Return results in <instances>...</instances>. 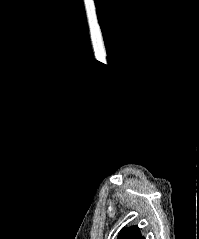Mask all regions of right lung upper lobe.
<instances>
[{"label":"right lung upper lobe","mask_w":199,"mask_h":239,"mask_svg":"<svg viewBox=\"0 0 199 239\" xmlns=\"http://www.w3.org/2000/svg\"><path fill=\"white\" fill-rule=\"evenodd\" d=\"M118 239H145L141 236L138 226H132L130 228H123L118 236Z\"/></svg>","instance_id":"1"}]
</instances>
